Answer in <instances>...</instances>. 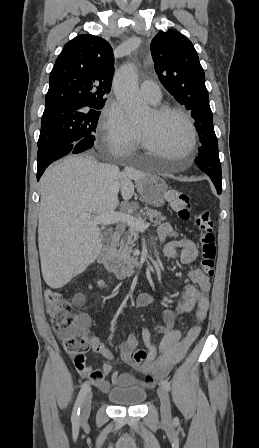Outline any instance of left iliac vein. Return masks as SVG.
Masks as SVG:
<instances>
[{"label":"left iliac vein","mask_w":259,"mask_h":448,"mask_svg":"<svg viewBox=\"0 0 259 448\" xmlns=\"http://www.w3.org/2000/svg\"><path fill=\"white\" fill-rule=\"evenodd\" d=\"M157 393L161 402L160 410L162 420L169 423L171 421V406L168 392L164 387H159Z\"/></svg>","instance_id":"left-iliac-vein-1"}]
</instances>
